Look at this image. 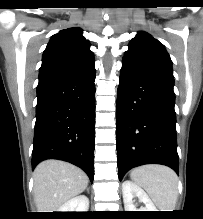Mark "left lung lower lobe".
Wrapping results in <instances>:
<instances>
[{
    "label": "left lung lower lobe",
    "mask_w": 203,
    "mask_h": 219,
    "mask_svg": "<svg viewBox=\"0 0 203 219\" xmlns=\"http://www.w3.org/2000/svg\"><path fill=\"white\" fill-rule=\"evenodd\" d=\"M173 75L123 59L117 91L119 180L133 167L162 164L179 173Z\"/></svg>",
    "instance_id": "1"
}]
</instances>
